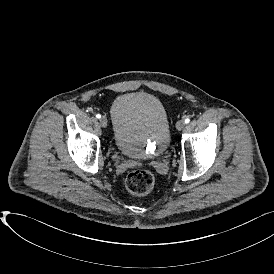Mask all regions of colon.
Masks as SVG:
<instances>
[{
  "label": "colon",
  "mask_w": 274,
  "mask_h": 274,
  "mask_svg": "<svg viewBox=\"0 0 274 274\" xmlns=\"http://www.w3.org/2000/svg\"><path fill=\"white\" fill-rule=\"evenodd\" d=\"M125 185L130 193L144 196L153 190L155 177L148 171L137 170L126 177Z\"/></svg>",
  "instance_id": "5ec220e1"
}]
</instances>
